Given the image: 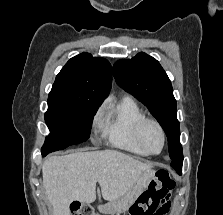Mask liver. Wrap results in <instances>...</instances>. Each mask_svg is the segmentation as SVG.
Wrapping results in <instances>:
<instances>
[{
    "mask_svg": "<svg viewBox=\"0 0 223 215\" xmlns=\"http://www.w3.org/2000/svg\"><path fill=\"white\" fill-rule=\"evenodd\" d=\"M151 167V163L116 149L50 155L42 165L43 185L54 215H70L69 205L74 199L82 203L95 201L97 181L104 199L115 201Z\"/></svg>",
    "mask_w": 223,
    "mask_h": 215,
    "instance_id": "6515ba94",
    "label": "liver"
}]
</instances>
